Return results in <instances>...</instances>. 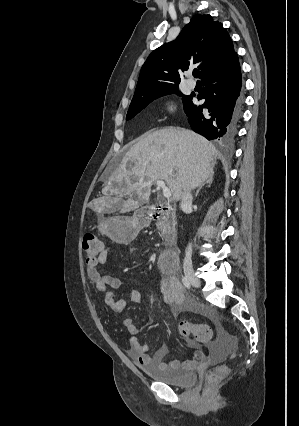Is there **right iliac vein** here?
Listing matches in <instances>:
<instances>
[{"instance_id": "right-iliac-vein-1", "label": "right iliac vein", "mask_w": 299, "mask_h": 426, "mask_svg": "<svg viewBox=\"0 0 299 426\" xmlns=\"http://www.w3.org/2000/svg\"><path fill=\"white\" fill-rule=\"evenodd\" d=\"M184 273L189 282L194 287H200V280L197 278L196 274L194 273V270L190 266L184 267Z\"/></svg>"}]
</instances>
